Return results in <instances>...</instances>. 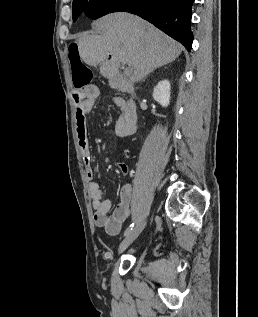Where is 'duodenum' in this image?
<instances>
[{"instance_id": "obj_1", "label": "duodenum", "mask_w": 258, "mask_h": 317, "mask_svg": "<svg viewBox=\"0 0 258 317\" xmlns=\"http://www.w3.org/2000/svg\"><path fill=\"white\" fill-rule=\"evenodd\" d=\"M87 96L88 94L85 89L76 88L72 94L73 102L75 103L76 106H80L85 102Z\"/></svg>"}]
</instances>
